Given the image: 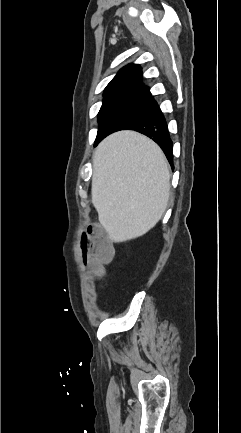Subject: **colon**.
I'll list each match as a JSON object with an SVG mask.
<instances>
[{
  "label": "colon",
  "mask_w": 241,
  "mask_h": 433,
  "mask_svg": "<svg viewBox=\"0 0 241 433\" xmlns=\"http://www.w3.org/2000/svg\"><path fill=\"white\" fill-rule=\"evenodd\" d=\"M80 250L83 259L91 264L97 275L102 274V265L110 261L113 255L109 239L100 232L94 234L92 230L83 235Z\"/></svg>",
  "instance_id": "5ec220e1"
}]
</instances>
